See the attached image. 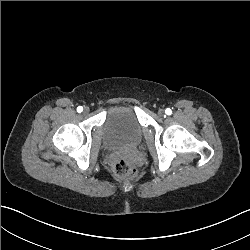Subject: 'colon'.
I'll use <instances>...</instances> for the list:
<instances>
[{
    "label": "colon",
    "mask_w": 250,
    "mask_h": 250,
    "mask_svg": "<svg viewBox=\"0 0 250 250\" xmlns=\"http://www.w3.org/2000/svg\"><path fill=\"white\" fill-rule=\"evenodd\" d=\"M111 174L122 183H131L137 177V168L126 159H117L111 165Z\"/></svg>",
    "instance_id": "5ec220e1"
}]
</instances>
